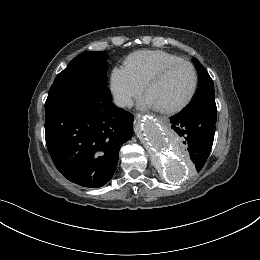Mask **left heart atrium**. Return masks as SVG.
<instances>
[{"mask_svg": "<svg viewBox=\"0 0 260 260\" xmlns=\"http://www.w3.org/2000/svg\"><path fill=\"white\" fill-rule=\"evenodd\" d=\"M142 107H157L155 103L148 97L145 96L141 102Z\"/></svg>", "mask_w": 260, "mask_h": 260, "instance_id": "1", "label": "left heart atrium"}]
</instances>
